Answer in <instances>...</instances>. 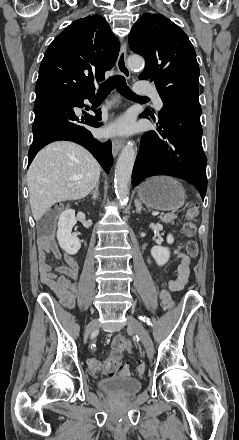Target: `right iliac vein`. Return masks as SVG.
Segmentation results:
<instances>
[{
    "instance_id": "63e3f726",
    "label": "right iliac vein",
    "mask_w": 239,
    "mask_h": 440,
    "mask_svg": "<svg viewBox=\"0 0 239 440\" xmlns=\"http://www.w3.org/2000/svg\"><path fill=\"white\" fill-rule=\"evenodd\" d=\"M97 325L98 321L96 319L92 320L86 327L85 335L89 336L97 328Z\"/></svg>"
}]
</instances>
